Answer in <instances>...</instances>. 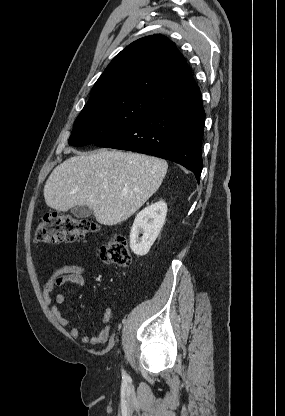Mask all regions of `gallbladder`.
Segmentation results:
<instances>
[{"label":"gallbladder","mask_w":285,"mask_h":416,"mask_svg":"<svg viewBox=\"0 0 285 416\" xmlns=\"http://www.w3.org/2000/svg\"><path fill=\"white\" fill-rule=\"evenodd\" d=\"M71 214L76 218H89L92 216V210H89L88 206H77V208H72Z\"/></svg>","instance_id":"1"}]
</instances>
